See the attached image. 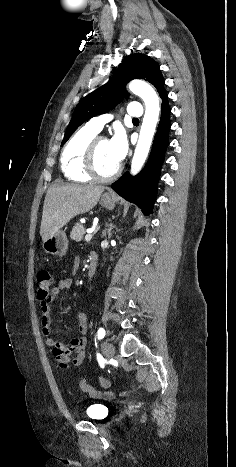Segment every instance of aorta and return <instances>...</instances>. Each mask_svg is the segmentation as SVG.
<instances>
[{"label":"aorta","instance_id":"1","mask_svg":"<svg viewBox=\"0 0 236 467\" xmlns=\"http://www.w3.org/2000/svg\"><path fill=\"white\" fill-rule=\"evenodd\" d=\"M129 90L138 95L145 104V114L131 163V174L136 175L147 159L159 120L160 103L155 90L145 81L132 80L129 83Z\"/></svg>","mask_w":236,"mask_h":467}]
</instances>
